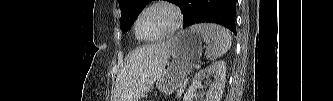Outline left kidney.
Here are the masks:
<instances>
[{"label":"left kidney","instance_id":"1","mask_svg":"<svg viewBox=\"0 0 333 101\" xmlns=\"http://www.w3.org/2000/svg\"><path fill=\"white\" fill-rule=\"evenodd\" d=\"M210 77H213V81L209 83L205 101H220L226 79V63L224 61H217L200 70L185 93L183 101H192L194 93L202 86L203 79Z\"/></svg>","mask_w":333,"mask_h":101}]
</instances>
